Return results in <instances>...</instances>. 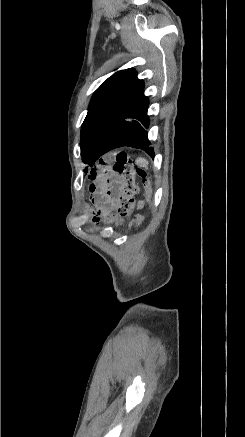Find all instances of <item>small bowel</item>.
I'll list each match as a JSON object with an SVG mask.
<instances>
[{
	"mask_svg": "<svg viewBox=\"0 0 245 437\" xmlns=\"http://www.w3.org/2000/svg\"><path fill=\"white\" fill-rule=\"evenodd\" d=\"M113 166V161L108 154H105L102 159L99 160L97 166H92L88 173L89 180H106ZM90 192H99L101 186L99 183H90L88 186ZM118 185L116 183H110L106 191V206L109 209H113L117 204ZM117 221L116 218L113 219ZM137 222H141V218H137Z\"/></svg>",
	"mask_w": 245,
	"mask_h": 437,
	"instance_id": "obj_1",
	"label": "small bowel"
}]
</instances>
